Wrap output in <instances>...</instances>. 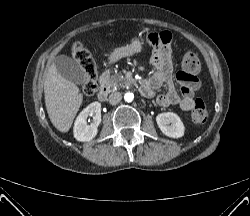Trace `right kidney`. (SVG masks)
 <instances>
[{
    "label": "right kidney",
    "instance_id": "obj_1",
    "mask_svg": "<svg viewBox=\"0 0 250 216\" xmlns=\"http://www.w3.org/2000/svg\"><path fill=\"white\" fill-rule=\"evenodd\" d=\"M93 116V122L87 124V118ZM101 123V104L93 102L88 105L76 118L74 123V137L76 140L86 142L92 140L98 132V126Z\"/></svg>",
    "mask_w": 250,
    "mask_h": 216
}]
</instances>
